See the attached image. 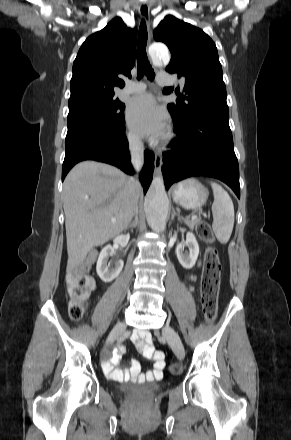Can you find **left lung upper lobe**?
Listing matches in <instances>:
<instances>
[{"label":"left lung upper lobe","instance_id":"1","mask_svg":"<svg viewBox=\"0 0 291 440\" xmlns=\"http://www.w3.org/2000/svg\"><path fill=\"white\" fill-rule=\"evenodd\" d=\"M153 36L171 51L166 70L184 81L185 96L168 105L175 123H186L198 114H228L222 67L212 39L201 29L172 15L159 23ZM172 91L173 88L164 89L165 94ZM175 91L178 92L179 88Z\"/></svg>","mask_w":291,"mask_h":440}]
</instances>
